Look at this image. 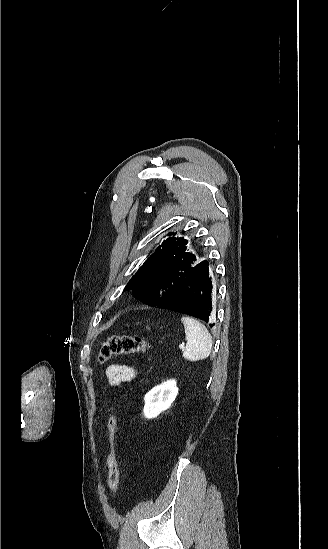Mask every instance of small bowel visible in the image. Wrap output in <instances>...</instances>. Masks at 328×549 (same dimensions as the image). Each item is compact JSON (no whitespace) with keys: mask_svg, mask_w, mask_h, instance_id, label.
<instances>
[{"mask_svg":"<svg viewBox=\"0 0 328 549\" xmlns=\"http://www.w3.org/2000/svg\"><path fill=\"white\" fill-rule=\"evenodd\" d=\"M137 376V370L134 367L112 364L106 368L107 382L110 386H119L123 383L130 382Z\"/></svg>","mask_w":328,"mask_h":549,"instance_id":"c3829d8e","label":"small bowel"}]
</instances>
